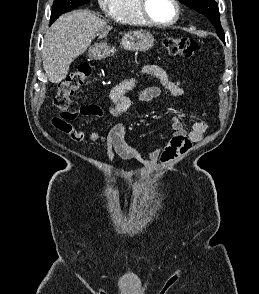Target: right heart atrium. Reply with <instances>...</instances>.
I'll return each instance as SVG.
<instances>
[{"mask_svg":"<svg viewBox=\"0 0 259 294\" xmlns=\"http://www.w3.org/2000/svg\"><path fill=\"white\" fill-rule=\"evenodd\" d=\"M115 0H97L99 7L105 11L110 12L112 10Z\"/></svg>","mask_w":259,"mask_h":294,"instance_id":"1","label":"right heart atrium"}]
</instances>
